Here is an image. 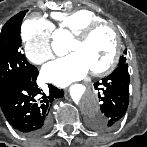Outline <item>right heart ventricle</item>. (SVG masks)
Masks as SVG:
<instances>
[{"instance_id":"e07e8e85","label":"right heart ventricle","mask_w":147,"mask_h":147,"mask_svg":"<svg viewBox=\"0 0 147 147\" xmlns=\"http://www.w3.org/2000/svg\"><path fill=\"white\" fill-rule=\"evenodd\" d=\"M53 18L58 21L61 29L72 36L85 30L87 27L104 22V18L89 9H78L71 12L53 13Z\"/></svg>"}]
</instances>
